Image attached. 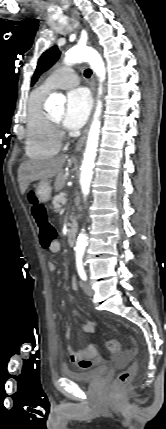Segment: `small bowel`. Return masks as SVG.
Listing matches in <instances>:
<instances>
[{"instance_id":"obj_1","label":"small bowel","mask_w":166,"mask_h":429,"mask_svg":"<svg viewBox=\"0 0 166 429\" xmlns=\"http://www.w3.org/2000/svg\"><path fill=\"white\" fill-rule=\"evenodd\" d=\"M60 248V243L54 241L48 249L52 253H58L60 251ZM48 269L51 272H54L56 270V264L52 261L48 262ZM71 284L72 288L74 290H77V282L75 278L72 279ZM81 329L86 333H93L95 331V324L87 320L86 318H83L81 323ZM66 337H69V326L67 324ZM68 350L70 361L83 370L97 366L103 361V358L99 353V348L96 344L85 346L79 350H74L71 346H69Z\"/></svg>"}]
</instances>
